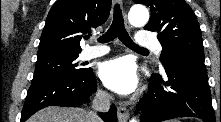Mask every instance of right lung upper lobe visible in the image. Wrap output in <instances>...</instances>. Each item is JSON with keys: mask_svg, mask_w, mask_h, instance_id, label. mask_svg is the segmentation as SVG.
Instances as JSON below:
<instances>
[{"mask_svg": "<svg viewBox=\"0 0 221 122\" xmlns=\"http://www.w3.org/2000/svg\"><path fill=\"white\" fill-rule=\"evenodd\" d=\"M110 9L111 0H57L46 19L38 59L79 54L82 36L102 25Z\"/></svg>", "mask_w": 221, "mask_h": 122, "instance_id": "obj_1", "label": "right lung upper lobe"}]
</instances>
